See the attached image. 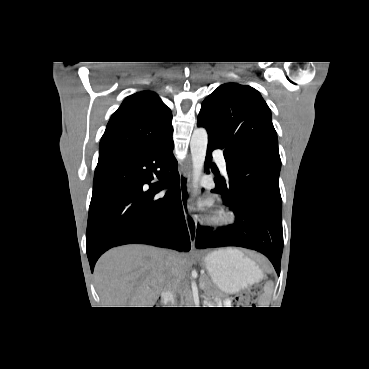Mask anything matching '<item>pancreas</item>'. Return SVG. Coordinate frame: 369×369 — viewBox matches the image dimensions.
<instances>
[{"instance_id":"cf45deb5","label":"pancreas","mask_w":369,"mask_h":369,"mask_svg":"<svg viewBox=\"0 0 369 369\" xmlns=\"http://www.w3.org/2000/svg\"><path fill=\"white\" fill-rule=\"evenodd\" d=\"M208 285H209V281L206 279V278H203L200 280V287L203 289V290H207L208 289ZM187 302H189V300L187 299Z\"/></svg>"}]
</instances>
